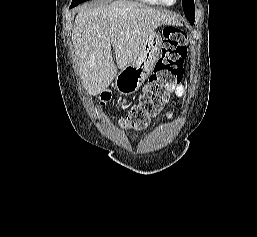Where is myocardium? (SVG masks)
<instances>
[{
  "label": "myocardium",
  "mask_w": 257,
  "mask_h": 237,
  "mask_svg": "<svg viewBox=\"0 0 257 237\" xmlns=\"http://www.w3.org/2000/svg\"><path fill=\"white\" fill-rule=\"evenodd\" d=\"M160 1H161V3H162L163 5L172 6V5H175L178 0H174L173 2H167L166 0H160Z\"/></svg>",
  "instance_id": "myocardium-1"
}]
</instances>
